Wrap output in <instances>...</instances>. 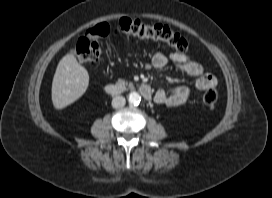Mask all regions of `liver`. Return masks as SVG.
Wrapping results in <instances>:
<instances>
[{
	"label": "liver",
	"instance_id": "obj_1",
	"mask_svg": "<svg viewBox=\"0 0 272 198\" xmlns=\"http://www.w3.org/2000/svg\"><path fill=\"white\" fill-rule=\"evenodd\" d=\"M89 75L73 54L65 55L56 68L52 81V103L62 109L79 99L87 90Z\"/></svg>",
	"mask_w": 272,
	"mask_h": 198
}]
</instances>
